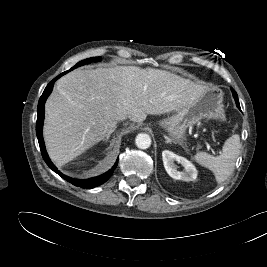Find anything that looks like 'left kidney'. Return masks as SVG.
Listing matches in <instances>:
<instances>
[{
    "label": "left kidney",
    "mask_w": 267,
    "mask_h": 267,
    "mask_svg": "<svg viewBox=\"0 0 267 267\" xmlns=\"http://www.w3.org/2000/svg\"><path fill=\"white\" fill-rule=\"evenodd\" d=\"M162 158L166 172L173 179L189 182L194 181L197 178V170L195 166L186 158L178 156L168 150L162 152ZM175 161L184 167V171H178L176 169Z\"/></svg>",
    "instance_id": "left-kidney-1"
}]
</instances>
